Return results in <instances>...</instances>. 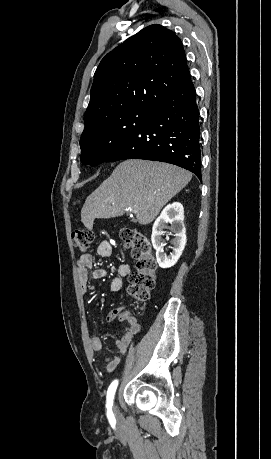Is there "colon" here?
Masks as SVG:
<instances>
[{"label": "colon", "mask_w": 271, "mask_h": 459, "mask_svg": "<svg viewBox=\"0 0 271 459\" xmlns=\"http://www.w3.org/2000/svg\"><path fill=\"white\" fill-rule=\"evenodd\" d=\"M120 238L124 245L131 250L137 262V269L129 275V294L138 302H145L155 286L157 260L153 253L150 240L134 228H123ZM94 234L90 229L80 228L72 232V241L81 251L90 248Z\"/></svg>", "instance_id": "1"}]
</instances>
